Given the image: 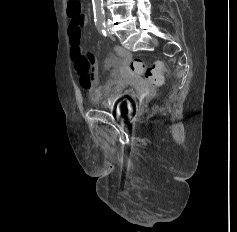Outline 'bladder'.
<instances>
[{"mask_svg":"<svg viewBox=\"0 0 237 232\" xmlns=\"http://www.w3.org/2000/svg\"><path fill=\"white\" fill-rule=\"evenodd\" d=\"M105 107L113 110L119 117L130 114L133 111V92L127 91L125 98H122L113 104H105Z\"/></svg>","mask_w":237,"mask_h":232,"instance_id":"bladder-1","label":"bladder"}]
</instances>
